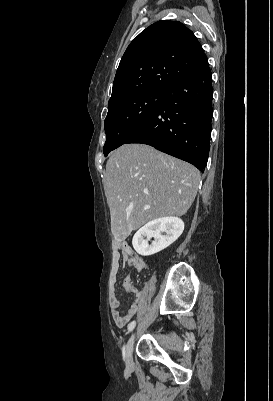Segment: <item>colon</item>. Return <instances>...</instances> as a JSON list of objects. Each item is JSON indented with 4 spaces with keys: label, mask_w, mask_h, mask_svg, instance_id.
I'll use <instances>...</instances> for the list:
<instances>
[{
    "label": "colon",
    "mask_w": 273,
    "mask_h": 401,
    "mask_svg": "<svg viewBox=\"0 0 273 401\" xmlns=\"http://www.w3.org/2000/svg\"><path fill=\"white\" fill-rule=\"evenodd\" d=\"M122 291L124 293H134L136 291V286L134 284H124L122 286Z\"/></svg>",
    "instance_id": "obj_1"
}]
</instances>
